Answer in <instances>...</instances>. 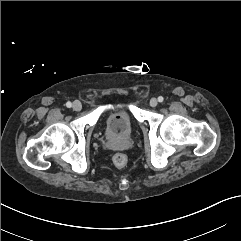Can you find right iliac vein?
Returning a JSON list of instances; mask_svg holds the SVG:
<instances>
[{
	"label": "right iliac vein",
	"mask_w": 241,
	"mask_h": 241,
	"mask_svg": "<svg viewBox=\"0 0 241 241\" xmlns=\"http://www.w3.org/2000/svg\"><path fill=\"white\" fill-rule=\"evenodd\" d=\"M72 107L75 111H80L82 109V104L80 101H74Z\"/></svg>",
	"instance_id": "obj_1"
}]
</instances>
